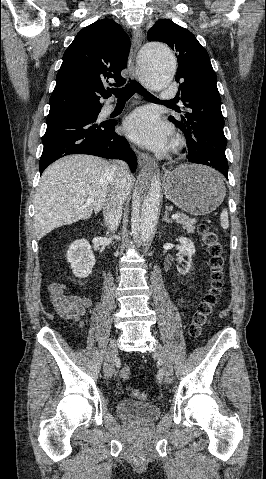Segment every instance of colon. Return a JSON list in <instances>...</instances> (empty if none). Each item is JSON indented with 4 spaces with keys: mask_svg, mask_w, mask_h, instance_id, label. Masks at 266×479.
I'll return each mask as SVG.
<instances>
[{
    "mask_svg": "<svg viewBox=\"0 0 266 479\" xmlns=\"http://www.w3.org/2000/svg\"><path fill=\"white\" fill-rule=\"evenodd\" d=\"M198 229L210 255L209 264L211 272V285L209 291L206 293L204 299L199 303L197 311L194 314L193 321L189 329V333L193 338H198L202 335L214 313V309L219 301L223 288L225 264L223 257L224 248L217 232L206 223H201ZM130 375L131 371L128 367H123L120 370V377L122 379H128ZM132 394L134 397L140 400H146L148 398V394L146 392L133 390Z\"/></svg>",
    "mask_w": 266,
    "mask_h": 479,
    "instance_id": "colon-1",
    "label": "colon"
}]
</instances>
